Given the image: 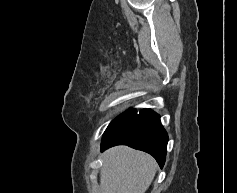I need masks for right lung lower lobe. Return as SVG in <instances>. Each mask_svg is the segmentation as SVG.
<instances>
[{
	"label": "right lung lower lobe",
	"instance_id": "98d812e1",
	"mask_svg": "<svg viewBox=\"0 0 237 193\" xmlns=\"http://www.w3.org/2000/svg\"><path fill=\"white\" fill-rule=\"evenodd\" d=\"M168 135L160 117L150 109H129L117 116L103 134L101 151L115 145H128L152 155L160 167L166 158Z\"/></svg>",
	"mask_w": 237,
	"mask_h": 193
}]
</instances>
